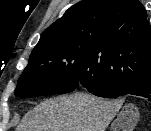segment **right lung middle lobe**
I'll return each mask as SVG.
<instances>
[{"mask_svg":"<svg viewBox=\"0 0 151 131\" xmlns=\"http://www.w3.org/2000/svg\"><path fill=\"white\" fill-rule=\"evenodd\" d=\"M96 60L75 43L34 48L14 94L32 97L69 93L81 82H105Z\"/></svg>","mask_w":151,"mask_h":131,"instance_id":"right-lung-middle-lobe-1","label":"right lung middle lobe"}]
</instances>
